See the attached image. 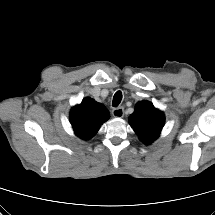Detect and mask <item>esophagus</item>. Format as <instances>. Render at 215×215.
<instances>
[{
    "instance_id": "1",
    "label": "esophagus",
    "mask_w": 215,
    "mask_h": 215,
    "mask_svg": "<svg viewBox=\"0 0 215 215\" xmlns=\"http://www.w3.org/2000/svg\"><path fill=\"white\" fill-rule=\"evenodd\" d=\"M112 115L115 118H122L124 116V109L122 107H117L112 110Z\"/></svg>"
}]
</instances>
